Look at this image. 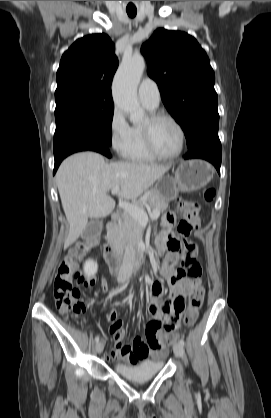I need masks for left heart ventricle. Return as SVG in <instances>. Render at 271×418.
<instances>
[{
    "label": "left heart ventricle",
    "instance_id": "obj_1",
    "mask_svg": "<svg viewBox=\"0 0 271 418\" xmlns=\"http://www.w3.org/2000/svg\"><path fill=\"white\" fill-rule=\"evenodd\" d=\"M153 141L160 153L172 155L179 149L180 133L170 121L161 120L153 127Z\"/></svg>",
    "mask_w": 271,
    "mask_h": 418
}]
</instances>
